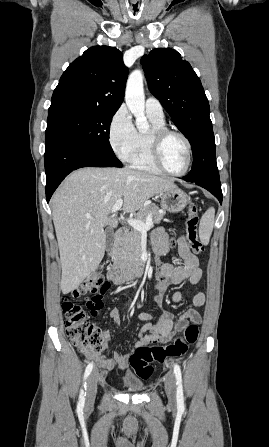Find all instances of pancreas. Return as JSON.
<instances>
[{
    "mask_svg": "<svg viewBox=\"0 0 269 447\" xmlns=\"http://www.w3.org/2000/svg\"><path fill=\"white\" fill-rule=\"evenodd\" d=\"M159 210L160 208L156 204H148L145 208H140L136 214V220L146 222L148 214H152L154 224H159L166 214L165 210H163V214H159ZM141 237L142 233L138 229H131L129 233L119 237L113 247L112 259L114 263H137L142 253Z\"/></svg>",
    "mask_w": 269,
    "mask_h": 447,
    "instance_id": "cf45deb5",
    "label": "pancreas"
}]
</instances>
